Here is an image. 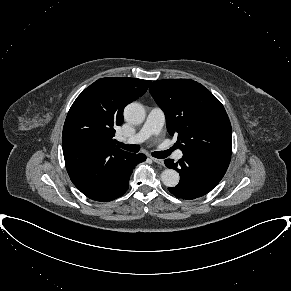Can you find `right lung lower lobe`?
<instances>
[{
    "label": "right lung lower lobe",
    "mask_w": 291,
    "mask_h": 291,
    "mask_svg": "<svg viewBox=\"0 0 291 291\" xmlns=\"http://www.w3.org/2000/svg\"><path fill=\"white\" fill-rule=\"evenodd\" d=\"M145 160L144 154H129L113 166L108 178L94 192L86 196L100 202L112 201L122 196L129 187L133 168Z\"/></svg>",
    "instance_id": "obj_1"
}]
</instances>
